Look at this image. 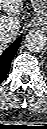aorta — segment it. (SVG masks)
I'll return each instance as SVG.
<instances>
[{
    "mask_svg": "<svg viewBox=\"0 0 47 129\" xmlns=\"http://www.w3.org/2000/svg\"><path fill=\"white\" fill-rule=\"evenodd\" d=\"M24 45L31 52H41L46 48L47 39L39 32H31L26 35Z\"/></svg>",
    "mask_w": 47,
    "mask_h": 129,
    "instance_id": "obj_1",
    "label": "aorta"
}]
</instances>
